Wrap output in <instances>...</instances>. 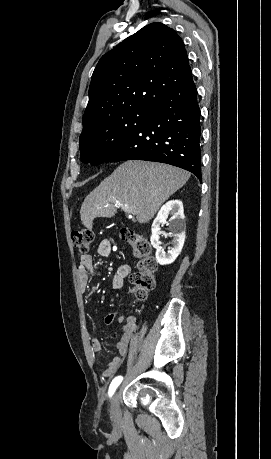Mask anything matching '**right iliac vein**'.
Listing matches in <instances>:
<instances>
[{
	"mask_svg": "<svg viewBox=\"0 0 271 459\" xmlns=\"http://www.w3.org/2000/svg\"><path fill=\"white\" fill-rule=\"evenodd\" d=\"M110 413L114 419H120L121 413L119 408V392L117 391L111 401Z\"/></svg>",
	"mask_w": 271,
	"mask_h": 459,
	"instance_id": "63e3f726",
	"label": "right iliac vein"
}]
</instances>
